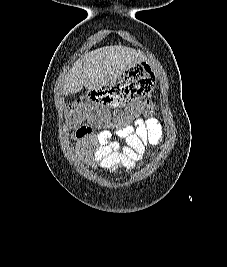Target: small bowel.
<instances>
[{
  "instance_id": "small-bowel-1",
  "label": "small bowel",
  "mask_w": 227,
  "mask_h": 267,
  "mask_svg": "<svg viewBox=\"0 0 227 267\" xmlns=\"http://www.w3.org/2000/svg\"><path fill=\"white\" fill-rule=\"evenodd\" d=\"M164 128L154 116L133 119L132 125L121 129L101 130L97 134L91 127L82 125L75 132L78 155L95 170L113 174L118 167L135 168L148 145H159Z\"/></svg>"
}]
</instances>
